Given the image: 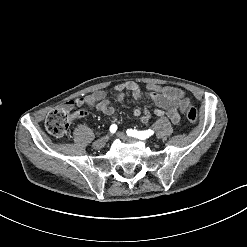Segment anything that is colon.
<instances>
[{
    "label": "colon",
    "instance_id": "colon-1",
    "mask_svg": "<svg viewBox=\"0 0 247 247\" xmlns=\"http://www.w3.org/2000/svg\"><path fill=\"white\" fill-rule=\"evenodd\" d=\"M186 117L189 121L195 123L198 113L192 105L186 106ZM73 123L69 116V111L55 109L51 111L45 118L46 130L59 139L66 140L70 136L69 128Z\"/></svg>",
    "mask_w": 247,
    "mask_h": 247
}]
</instances>
